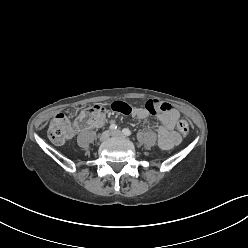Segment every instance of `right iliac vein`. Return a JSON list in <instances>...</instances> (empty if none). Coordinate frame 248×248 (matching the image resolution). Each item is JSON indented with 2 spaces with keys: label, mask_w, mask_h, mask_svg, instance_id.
Returning <instances> with one entry per match:
<instances>
[{
  "label": "right iliac vein",
  "mask_w": 248,
  "mask_h": 248,
  "mask_svg": "<svg viewBox=\"0 0 248 248\" xmlns=\"http://www.w3.org/2000/svg\"><path fill=\"white\" fill-rule=\"evenodd\" d=\"M110 134H111V132H110L109 130L104 131V132L100 135L99 140H100V141H106V140L109 138Z\"/></svg>",
  "instance_id": "obj_1"
}]
</instances>
